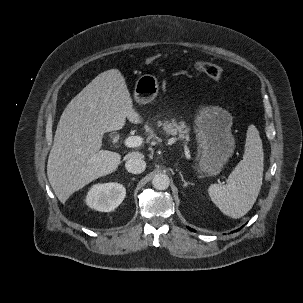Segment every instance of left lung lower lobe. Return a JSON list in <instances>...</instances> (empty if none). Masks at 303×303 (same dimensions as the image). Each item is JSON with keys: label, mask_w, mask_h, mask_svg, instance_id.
Instances as JSON below:
<instances>
[{"label": "left lung lower lobe", "mask_w": 303, "mask_h": 303, "mask_svg": "<svg viewBox=\"0 0 303 303\" xmlns=\"http://www.w3.org/2000/svg\"><path fill=\"white\" fill-rule=\"evenodd\" d=\"M188 229L191 230V231H194L193 229H191V228H189V227H188ZM238 230H239V229H238ZM238 230H236V231H238Z\"/></svg>", "instance_id": "left-lung-lower-lobe-1"}]
</instances>
